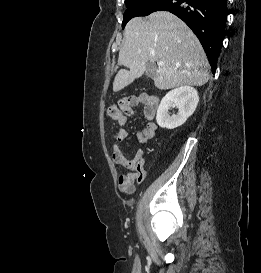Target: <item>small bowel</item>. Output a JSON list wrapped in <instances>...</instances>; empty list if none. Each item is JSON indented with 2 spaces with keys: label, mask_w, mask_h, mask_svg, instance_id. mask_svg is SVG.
<instances>
[{
  "label": "small bowel",
  "mask_w": 261,
  "mask_h": 273,
  "mask_svg": "<svg viewBox=\"0 0 261 273\" xmlns=\"http://www.w3.org/2000/svg\"><path fill=\"white\" fill-rule=\"evenodd\" d=\"M138 101L144 104V115L148 120L147 125L139 130L136 134L140 143H145L155 137L158 125L153 121L156 114L159 100L150 94H142L139 96ZM120 129L115 135V145L113 146L112 158L114 162L124 168L130 170L125 174H121L118 178V189L125 194H132L135 191V182H141L145 176L144 170V150L138 149L132 159H127L119 145L127 139L129 132L124 126L127 123V117H122L117 120Z\"/></svg>",
  "instance_id": "1"
}]
</instances>
